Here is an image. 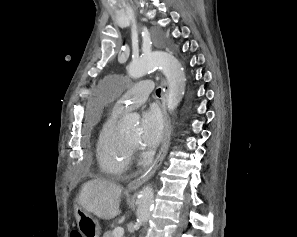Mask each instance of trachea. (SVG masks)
<instances>
[{"mask_svg":"<svg viewBox=\"0 0 297 237\" xmlns=\"http://www.w3.org/2000/svg\"><path fill=\"white\" fill-rule=\"evenodd\" d=\"M156 94H157L158 96H160V94H161V89H160V88L156 90Z\"/></svg>","mask_w":297,"mask_h":237,"instance_id":"trachea-1","label":"trachea"}]
</instances>
